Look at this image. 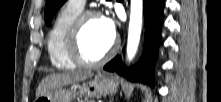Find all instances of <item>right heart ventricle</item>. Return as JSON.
Segmentation results:
<instances>
[{
  "instance_id": "obj_1",
  "label": "right heart ventricle",
  "mask_w": 221,
  "mask_h": 102,
  "mask_svg": "<svg viewBox=\"0 0 221 102\" xmlns=\"http://www.w3.org/2000/svg\"><path fill=\"white\" fill-rule=\"evenodd\" d=\"M83 8L68 2L58 12L47 36V50L52 65L59 70H71L76 64L67 52V38L70 28Z\"/></svg>"
}]
</instances>
